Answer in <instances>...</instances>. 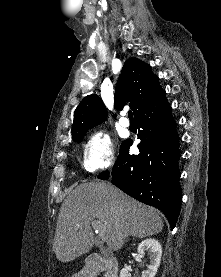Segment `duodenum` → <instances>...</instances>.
<instances>
[{"label": "duodenum", "mask_w": 221, "mask_h": 277, "mask_svg": "<svg viewBox=\"0 0 221 277\" xmlns=\"http://www.w3.org/2000/svg\"><path fill=\"white\" fill-rule=\"evenodd\" d=\"M101 271L105 272L106 277H118L119 264L117 259L98 254L88 256L82 270L83 277H97Z\"/></svg>", "instance_id": "duodenum-1"}]
</instances>
